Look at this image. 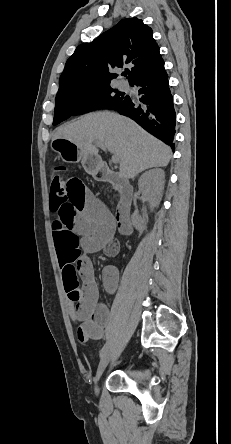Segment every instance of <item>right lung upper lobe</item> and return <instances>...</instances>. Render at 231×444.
<instances>
[{
  "label": "right lung upper lobe",
  "instance_id": "cb5924a9",
  "mask_svg": "<svg viewBox=\"0 0 231 444\" xmlns=\"http://www.w3.org/2000/svg\"><path fill=\"white\" fill-rule=\"evenodd\" d=\"M123 64L132 66L129 83L164 65L152 29L138 18L123 19L93 42L79 45L65 64L57 95L108 85L117 76L109 68Z\"/></svg>",
  "mask_w": 231,
  "mask_h": 444
}]
</instances>
